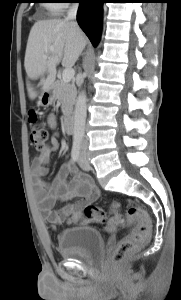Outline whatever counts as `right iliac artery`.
Listing matches in <instances>:
<instances>
[{
	"label": "right iliac artery",
	"mask_w": 181,
	"mask_h": 300,
	"mask_svg": "<svg viewBox=\"0 0 181 300\" xmlns=\"http://www.w3.org/2000/svg\"><path fill=\"white\" fill-rule=\"evenodd\" d=\"M80 149H81V140L75 139L73 141V146L71 151V157L74 162H77L79 159Z\"/></svg>",
	"instance_id": "1"
}]
</instances>
